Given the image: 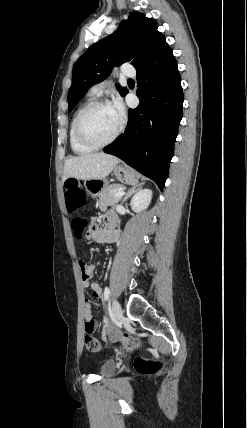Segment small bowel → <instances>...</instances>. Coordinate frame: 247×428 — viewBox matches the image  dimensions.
<instances>
[{
  "mask_svg": "<svg viewBox=\"0 0 247 428\" xmlns=\"http://www.w3.org/2000/svg\"><path fill=\"white\" fill-rule=\"evenodd\" d=\"M104 226L102 228H93L88 233V238L90 240H93L95 242H110L117 238L116 232L113 230V218L111 215H105L102 218ZM109 222L110 226L106 228L105 224ZM81 269V278H82V285L85 288H90L92 290V295L96 298H99L102 296V288L101 286L96 283L92 282L91 278L95 270V264L86 265L85 263L80 264ZM90 300V299H85ZM98 304L95 303V306H88L84 305V319L87 317L94 319L92 308L97 307ZM96 321V320H95Z\"/></svg>",
  "mask_w": 247,
  "mask_h": 428,
  "instance_id": "1",
  "label": "small bowel"
}]
</instances>
